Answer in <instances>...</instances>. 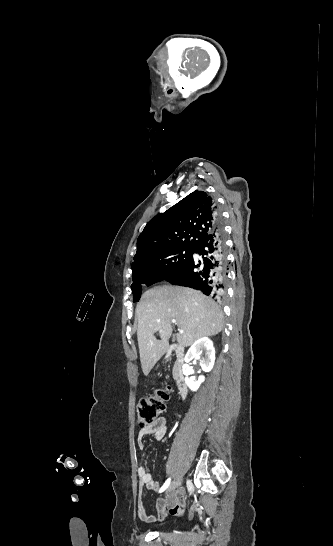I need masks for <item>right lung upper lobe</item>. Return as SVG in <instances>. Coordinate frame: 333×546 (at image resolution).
I'll use <instances>...</instances> for the list:
<instances>
[{
	"label": "right lung upper lobe",
	"mask_w": 333,
	"mask_h": 546,
	"mask_svg": "<svg viewBox=\"0 0 333 546\" xmlns=\"http://www.w3.org/2000/svg\"><path fill=\"white\" fill-rule=\"evenodd\" d=\"M216 209L206 192L195 191L156 215L138 237L132 272L142 270L166 251L194 247L214 230Z\"/></svg>",
	"instance_id": "right-lung-upper-lobe-1"
}]
</instances>
